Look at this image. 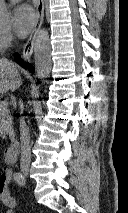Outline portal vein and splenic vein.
<instances>
[{
	"instance_id": "1",
	"label": "portal vein and splenic vein",
	"mask_w": 128,
	"mask_h": 213,
	"mask_svg": "<svg viewBox=\"0 0 128 213\" xmlns=\"http://www.w3.org/2000/svg\"><path fill=\"white\" fill-rule=\"evenodd\" d=\"M8 102L7 101H0V110L7 109Z\"/></svg>"
}]
</instances>
